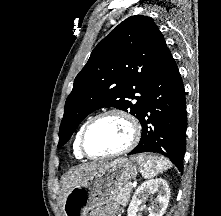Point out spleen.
Listing matches in <instances>:
<instances>
[{
	"label": "spleen",
	"mask_w": 221,
	"mask_h": 216,
	"mask_svg": "<svg viewBox=\"0 0 221 216\" xmlns=\"http://www.w3.org/2000/svg\"><path fill=\"white\" fill-rule=\"evenodd\" d=\"M134 159L140 165L142 176L145 179L156 177L171 167L170 161L164 157L141 154Z\"/></svg>",
	"instance_id": "obj_1"
}]
</instances>
